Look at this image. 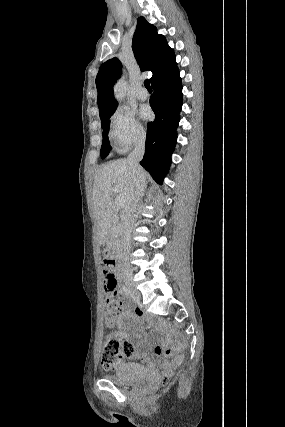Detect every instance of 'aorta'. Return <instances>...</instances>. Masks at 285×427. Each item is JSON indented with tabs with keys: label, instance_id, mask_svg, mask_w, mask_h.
<instances>
[{
	"label": "aorta",
	"instance_id": "aorta-1",
	"mask_svg": "<svg viewBox=\"0 0 285 427\" xmlns=\"http://www.w3.org/2000/svg\"><path fill=\"white\" fill-rule=\"evenodd\" d=\"M127 90H128V86H127L126 81L123 78L118 80L114 86L115 98L118 101L124 100L126 93H127Z\"/></svg>",
	"mask_w": 285,
	"mask_h": 427
}]
</instances>
